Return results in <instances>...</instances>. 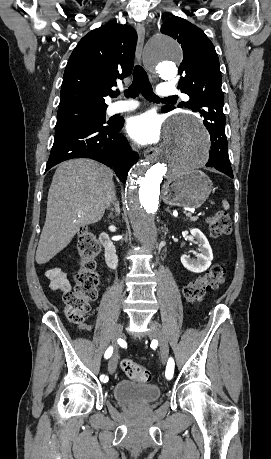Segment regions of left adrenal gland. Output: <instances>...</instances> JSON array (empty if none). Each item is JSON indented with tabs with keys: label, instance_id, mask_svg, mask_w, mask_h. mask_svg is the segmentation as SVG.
<instances>
[{
	"label": "left adrenal gland",
	"instance_id": "a2214340",
	"mask_svg": "<svg viewBox=\"0 0 271 459\" xmlns=\"http://www.w3.org/2000/svg\"><path fill=\"white\" fill-rule=\"evenodd\" d=\"M166 212H170L169 208H166ZM170 214H171V212H170Z\"/></svg>",
	"mask_w": 271,
	"mask_h": 459
}]
</instances>
